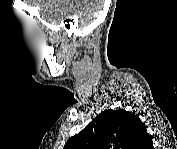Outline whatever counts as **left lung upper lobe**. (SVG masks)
<instances>
[{
  "label": "left lung upper lobe",
  "mask_w": 177,
  "mask_h": 149,
  "mask_svg": "<svg viewBox=\"0 0 177 149\" xmlns=\"http://www.w3.org/2000/svg\"><path fill=\"white\" fill-rule=\"evenodd\" d=\"M144 123L126 110H105L81 132L71 137L64 149H146Z\"/></svg>",
  "instance_id": "left-lung-upper-lobe-1"
}]
</instances>
